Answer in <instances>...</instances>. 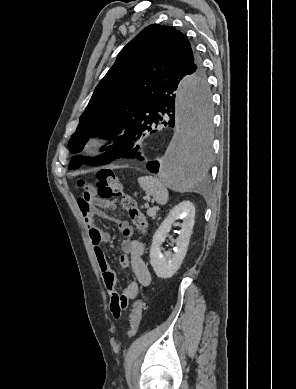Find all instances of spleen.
Listing matches in <instances>:
<instances>
[{"instance_id":"obj_1","label":"spleen","mask_w":296,"mask_h":389,"mask_svg":"<svg viewBox=\"0 0 296 389\" xmlns=\"http://www.w3.org/2000/svg\"><path fill=\"white\" fill-rule=\"evenodd\" d=\"M140 187L149 195L153 196L155 201L164 205L168 202L169 193L165 185L156 177L143 176L138 178Z\"/></svg>"}]
</instances>
